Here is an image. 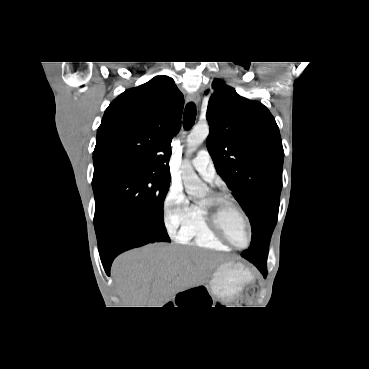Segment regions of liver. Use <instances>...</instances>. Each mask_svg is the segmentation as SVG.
Instances as JSON below:
<instances>
[{
	"label": "liver",
	"instance_id": "6515ba94",
	"mask_svg": "<svg viewBox=\"0 0 369 369\" xmlns=\"http://www.w3.org/2000/svg\"><path fill=\"white\" fill-rule=\"evenodd\" d=\"M223 257L197 248L155 243L120 255L111 274L126 307H163L202 284Z\"/></svg>",
	"mask_w": 369,
	"mask_h": 369
}]
</instances>
